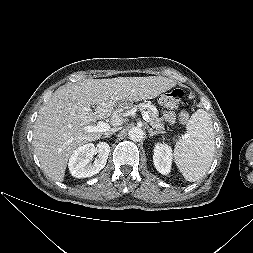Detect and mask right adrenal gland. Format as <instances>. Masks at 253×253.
<instances>
[{
	"label": "right adrenal gland",
	"instance_id": "right-adrenal-gland-1",
	"mask_svg": "<svg viewBox=\"0 0 253 253\" xmlns=\"http://www.w3.org/2000/svg\"><path fill=\"white\" fill-rule=\"evenodd\" d=\"M109 136H104V138H108Z\"/></svg>",
	"mask_w": 253,
	"mask_h": 253
}]
</instances>
